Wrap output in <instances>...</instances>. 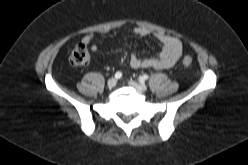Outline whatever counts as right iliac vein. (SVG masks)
I'll use <instances>...</instances> for the list:
<instances>
[{
	"mask_svg": "<svg viewBox=\"0 0 248 165\" xmlns=\"http://www.w3.org/2000/svg\"><path fill=\"white\" fill-rule=\"evenodd\" d=\"M117 84V80L115 78H110L107 82V86L111 89L114 88Z\"/></svg>",
	"mask_w": 248,
	"mask_h": 165,
	"instance_id": "right-iliac-vein-1",
	"label": "right iliac vein"
}]
</instances>
